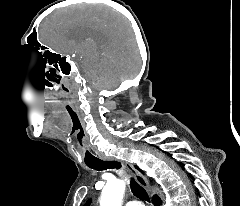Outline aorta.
<instances>
[{
    "label": "aorta",
    "instance_id": "762f6f07",
    "mask_svg": "<svg viewBox=\"0 0 240 206\" xmlns=\"http://www.w3.org/2000/svg\"><path fill=\"white\" fill-rule=\"evenodd\" d=\"M126 183L121 179H114L105 185L100 197V206H121Z\"/></svg>",
    "mask_w": 240,
    "mask_h": 206
}]
</instances>
